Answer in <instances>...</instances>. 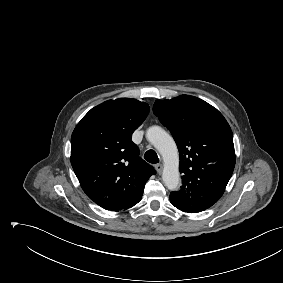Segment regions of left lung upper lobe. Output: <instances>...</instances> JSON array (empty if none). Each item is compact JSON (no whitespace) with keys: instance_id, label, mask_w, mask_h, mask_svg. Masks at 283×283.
<instances>
[{"instance_id":"obj_1","label":"left lung upper lobe","mask_w":283,"mask_h":283,"mask_svg":"<svg viewBox=\"0 0 283 283\" xmlns=\"http://www.w3.org/2000/svg\"><path fill=\"white\" fill-rule=\"evenodd\" d=\"M154 114L179 150L182 186L170 196L201 212L223 195L235 166L233 134L223 115L189 95L157 100Z\"/></svg>"}]
</instances>
